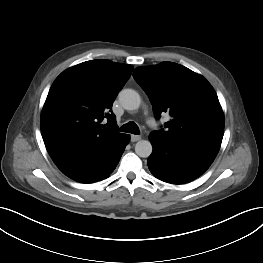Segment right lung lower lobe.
Returning a JSON list of instances; mask_svg holds the SVG:
<instances>
[{"label": "right lung lower lobe", "instance_id": "right-lung-lower-lobe-1", "mask_svg": "<svg viewBox=\"0 0 263 263\" xmlns=\"http://www.w3.org/2000/svg\"><path fill=\"white\" fill-rule=\"evenodd\" d=\"M129 140V135L125 134L115 147L65 164L59 169L77 182L94 183L103 180L116 168Z\"/></svg>", "mask_w": 263, "mask_h": 263}]
</instances>
